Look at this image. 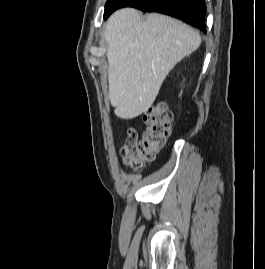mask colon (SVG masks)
<instances>
[{"mask_svg": "<svg viewBox=\"0 0 265 269\" xmlns=\"http://www.w3.org/2000/svg\"><path fill=\"white\" fill-rule=\"evenodd\" d=\"M143 118L146 128L142 137L139 139L136 128L130 127L121 147L125 162L133 170H139L155 159L170 134L172 112L166 104L157 103L144 112Z\"/></svg>", "mask_w": 265, "mask_h": 269, "instance_id": "5ec220e1", "label": "colon"}]
</instances>
